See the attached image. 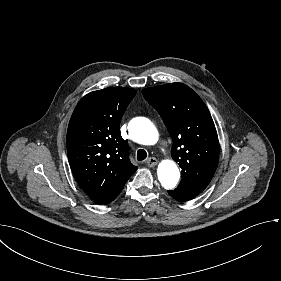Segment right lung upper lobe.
<instances>
[{
  "mask_svg": "<svg viewBox=\"0 0 281 281\" xmlns=\"http://www.w3.org/2000/svg\"><path fill=\"white\" fill-rule=\"evenodd\" d=\"M131 88L91 92L77 104L67 131V154L73 175L95 202L108 196L137 170L121 137V118L135 96Z\"/></svg>",
  "mask_w": 281,
  "mask_h": 281,
  "instance_id": "cb5924a9",
  "label": "right lung upper lobe"
}]
</instances>
